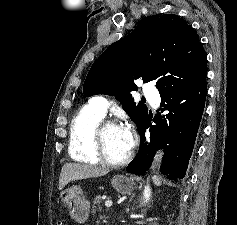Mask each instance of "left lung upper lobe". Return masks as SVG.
<instances>
[{
  "instance_id": "5c2ea615",
  "label": "left lung upper lobe",
  "mask_w": 237,
  "mask_h": 225,
  "mask_svg": "<svg viewBox=\"0 0 237 225\" xmlns=\"http://www.w3.org/2000/svg\"><path fill=\"white\" fill-rule=\"evenodd\" d=\"M206 75L207 55L193 28L174 14L153 15L111 44L93 63L83 93L116 96L139 127L148 109L132 99L131 91L137 90L135 79L156 80L159 93H164L196 84Z\"/></svg>"
}]
</instances>
